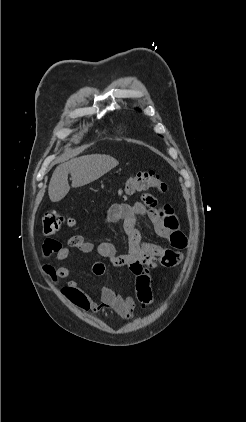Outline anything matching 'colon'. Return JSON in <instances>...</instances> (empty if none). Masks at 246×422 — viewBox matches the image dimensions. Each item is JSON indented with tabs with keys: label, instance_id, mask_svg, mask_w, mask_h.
Segmentation results:
<instances>
[{
	"label": "colon",
	"instance_id": "colon-1",
	"mask_svg": "<svg viewBox=\"0 0 246 422\" xmlns=\"http://www.w3.org/2000/svg\"><path fill=\"white\" fill-rule=\"evenodd\" d=\"M155 189L160 193L168 191L167 183L162 181L152 171H142L130 176L122 188V193L131 195L136 192ZM71 223L70 218L52 210L45 214L42 219V229L45 234H55L63 224ZM183 259V255L178 250L168 249L156 261L146 262L140 265L136 270V298L142 308L150 306L153 302V295L150 287V270L161 265L163 267H173L178 265Z\"/></svg>",
	"mask_w": 246,
	"mask_h": 422
}]
</instances>
